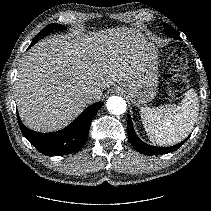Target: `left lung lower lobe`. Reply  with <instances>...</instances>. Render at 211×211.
Listing matches in <instances>:
<instances>
[{"label": "left lung lower lobe", "mask_w": 211, "mask_h": 211, "mask_svg": "<svg viewBox=\"0 0 211 211\" xmlns=\"http://www.w3.org/2000/svg\"><path fill=\"white\" fill-rule=\"evenodd\" d=\"M127 133H128L129 140H130L132 146L138 152L145 154V155H160V154L170 153L174 150H177L186 141V140H184L183 142H181L175 146H172V147H155V146L148 145V144L142 142L136 135V133L133 129V125H132L130 116H129L128 122H127Z\"/></svg>", "instance_id": "1"}]
</instances>
